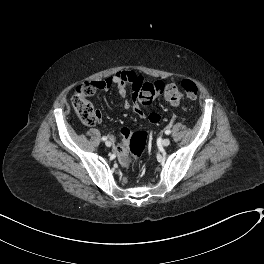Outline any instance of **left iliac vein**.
Here are the masks:
<instances>
[{
    "mask_svg": "<svg viewBox=\"0 0 264 264\" xmlns=\"http://www.w3.org/2000/svg\"><path fill=\"white\" fill-rule=\"evenodd\" d=\"M162 145L167 147L170 145V139L169 138H165L162 140Z\"/></svg>",
    "mask_w": 264,
    "mask_h": 264,
    "instance_id": "left-iliac-vein-1",
    "label": "left iliac vein"
}]
</instances>
